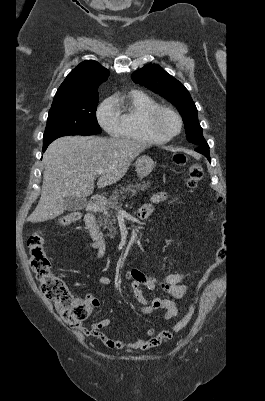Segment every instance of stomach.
Listing matches in <instances>:
<instances>
[{
    "label": "stomach",
    "mask_w": 265,
    "mask_h": 401,
    "mask_svg": "<svg viewBox=\"0 0 265 401\" xmlns=\"http://www.w3.org/2000/svg\"><path fill=\"white\" fill-rule=\"evenodd\" d=\"M135 168L137 172V176L139 178H143V176H147L150 174L154 168V160L151 156H147V154H142L139 156L135 162Z\"/></svg>",
    "instance_id": "obj_1"
}]
</instances>
